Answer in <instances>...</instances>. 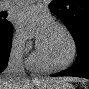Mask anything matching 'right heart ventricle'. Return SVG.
Instances as JSON below:
<instances>
[{
  "mask_svg": "<svg viewBox=\"0 0 89 89\" xmlns=\"http://www.w3.org/2000/svg\"><path fill=\"white\" fill-rule=\"evenodd\" d=\"M29 65L35 69H44L43 64L40 62L37 56H32L29 61Z\"/></svg>",
  "mask_w": 89,
  "mask_h": 89,
  "instance_id": "obj_1",
  "label": "right heart ventricle"
}]
</instances>
